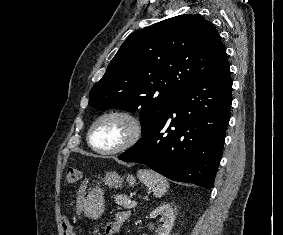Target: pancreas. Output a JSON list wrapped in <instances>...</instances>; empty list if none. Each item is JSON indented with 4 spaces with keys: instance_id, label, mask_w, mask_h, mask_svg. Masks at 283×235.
Returning a JSON list of instances; mask_svg holds the SVG:
<instances>
[{
    "instance_id": "1",
    "label": "pancreas",
    "mask_w": 283,
    "mask_h": 235,
    "mask_svg": "<svg viewBox=\"0 0 283 235\" xmlns=\"http://www.w3.org/2000/svg\"><path fill=\"white\" fill-rule=\"evenodd\" d=\"M115 202L116 204L124 207V208H134L136 206V204L129 202V198L127 195L123 194V195H115L114 196Z\"/></svg>"
}]
</instances>
